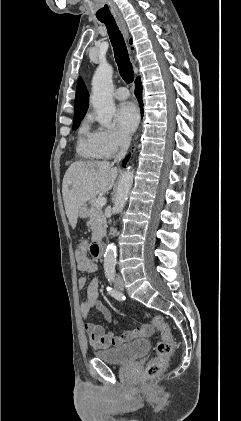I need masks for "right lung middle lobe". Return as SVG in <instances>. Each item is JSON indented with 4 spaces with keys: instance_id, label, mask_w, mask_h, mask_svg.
<instances>
[{
    "instance_id": "dd1d6c3e",
    "label": "right lung middle lobe",
    "mask_w": 241,
    "mask_h": 421,
    "mask_svg": "<svg viewBox=\"0 0 241 421\" xmlns=\"http://www.w3.org/2000/svg\"><path fill=\"white\" fill-rule=\"evenodd\" d=\"M83 117H78L73 119V130H76L81 122Z\"/></svg>"
}]
</instances>
